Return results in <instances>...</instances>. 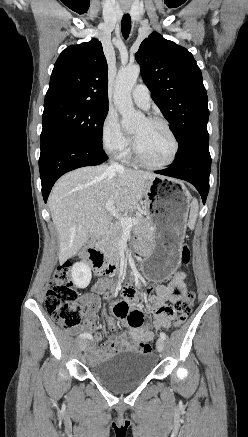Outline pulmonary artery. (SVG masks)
<instances>
[{
	"mask_svg": "<svg viewBox=\"0 0 248 437\" xmlns=\"http://www.w3.org/2000/svg\"><path fill=\"white\" fill-rule=\"evenodd\" d=\"M134 102L141 108L148 109L151 103L150 91L144 84L136 85L132 90Z\"/></svg>",
	"mask_w": 248,
	"mask_h": 437,
	"instance_id": "pulmonary-artery-1",
	"label": "pulmonary artery"
}]
</instances>
